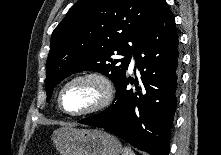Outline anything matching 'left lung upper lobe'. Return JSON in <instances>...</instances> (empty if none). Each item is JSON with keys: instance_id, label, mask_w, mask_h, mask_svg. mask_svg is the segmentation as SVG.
Here are the masks:
<instances>
[{"instance_id": "1", "label": "left lung upper lobe", "mask_w": 221, "mask_h": 155, "mask_svg": "<svg viewBox=\"0 0 221 155\" xmlns=\"http://www.w3.org/2000/svg\"><path fill=\"white\" fill-rule=\"evenodd\" d=\"M164 0H80L55 28L47 60V101L67 76L91 70L108 76L115 87L125 77L130 55L158 15Z\"/></svg>"}]
</instances>
